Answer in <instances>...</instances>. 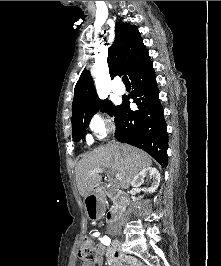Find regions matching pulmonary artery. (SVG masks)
<instances>
[{"mask_svg": "<svg viewBox=\"0 0 221 266\" xmlns=\"http://www.w3.org/2000/svg\"><path fill=\"white\" fill-rule=\"evenodd\" d=\"M113 92L117 95H122L125 93V87L119 85V84H114L112 88Z\"/></svg>", "mask_w": 221, "mask_h": 266, "instance_id": "e3ab8cb5", "label": "pulmonary artery"}]
</instances>
